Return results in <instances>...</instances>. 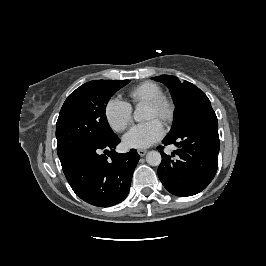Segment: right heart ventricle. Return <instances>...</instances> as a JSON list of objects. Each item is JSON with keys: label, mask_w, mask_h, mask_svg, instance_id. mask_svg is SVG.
I'll return each mask as SVG.
<instances>
[{"label": "right heart ventricle", "mask_w": 266, "mask_h": 266, "mask_svg": "<svg viewBox=\"0 0 266 266\" xmlns=\"http://www.w3.org/2000/svg\"><path fill=\"white\" fill-rule=\"evenodd\" d=\"M164 95L163 89L156 83L143 82L130 90L129 96L135 104L147 103Z\"/></svg>", "instance_id": "e07e8e85"}]
</instances>
